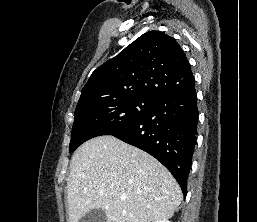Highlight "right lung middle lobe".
I'll list each match as a JSON object with an SVG mask.
<instances>
[{"label":"right lung middle lobe","instance_id":"dd1d6c3e","mask_svg":"<svg viewBox=\"0 0 257 222\" xmlns=\"http://www.w3.org/2000/svg\"><path fill=\"white\" fill-rule=\"evenodd\" d=\"M157 101L145 96L97 97L78 104L69 152L93 137L112 135L130 127L152 111Z\"/></svg>","mask_w":257,"mask_h":222}]
</instances>
